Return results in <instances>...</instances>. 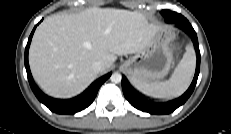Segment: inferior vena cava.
<instances>
[{
  "label": "inferior vena cava",
  "mask_w": 231,
  "mask_h": 134,
  "mask_svg": "<svg viewBox=\"0 0 231 134\" xmlns=\"http://www.w3.org/2000/svg\"><path fill=\"white\" fill-rule=\"evenodd\" d=\"M92 68L94 72L99 73L103 70L104 64L101 61H96L93 63Z\"/></svg>",
  "instance_id": "602c4592"
}]
</instances>
